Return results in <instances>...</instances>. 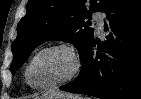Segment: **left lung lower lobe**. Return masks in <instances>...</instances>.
<instances>
[{"label":"left lung lower lobe","mask_w":141,"mask_h":99,"mask_svg":"<svg viewBox=\"0 0 141 99\" xmlns=\"http://www.w3.org/2000/svg\"><path fill=\"white\" fill-rule=\"evenodd\" d=\"M104 12L107 40L91 41L78 77L60 89L101 99H141V0H116ZM113 34L121 39L116 45Z\"/></svg>","instance_id":"1"}]
</instances>
